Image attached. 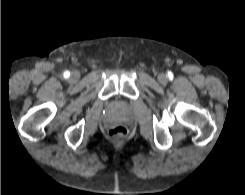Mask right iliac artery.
Masks as SVG:
<instances>
[{
    "instance_id": "1",
    "label": "right iliac artery",
    "mask_w": 245,
    "mask_h": 195,
    "mask_svg": "<svg viewBox=\"0 0 245 195\" xmlns=\"http://www.w3.org/2000/svg\"><path fill=\"white\" fill-rule=\"evenodd\" d=\"M69 76H70V72H69V71H65V72H64V77H65V78H68Z\"/></svg>"
}]
</instances>
